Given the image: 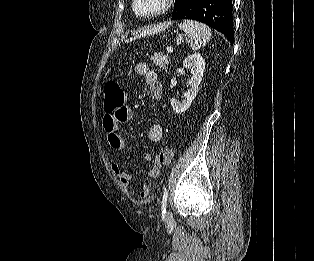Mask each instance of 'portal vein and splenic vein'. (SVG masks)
Segmentation results:
<instances>
[{"mask_svg":"<svg viewBox=\"0 0 314 261\" xmlns=\"http://www.w3.org/2000/svg\"><path fill=\"white\" fill-rule=\"evenodd\" d=\"M167 51H168V53H172V52H173V49H172L171 47H168V48H167Z\"/></svg>","mask_w":314,"mask_h":261,"instance_id":"obj_1","label":"portal vein and splenic vein"}]
</instances>
